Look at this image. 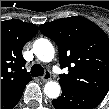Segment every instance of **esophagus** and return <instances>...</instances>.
Returning <instances> with one entry per match:
<instances>
[{"instance_id":"obj_1","label":"esophagus","mask_w":109,"mask_h":109,"mask_svg":"<svg viewBox=\"0 0 109 109\" xmlns=\"http://www.w3.org/2000/svg\"><path fill=\"white\" fill-rule=\"evenodd\" d=\"M51 79V73L49 70H46L45 74L41 77L43 82H47Z\"/></svg>"}]
</instances>
